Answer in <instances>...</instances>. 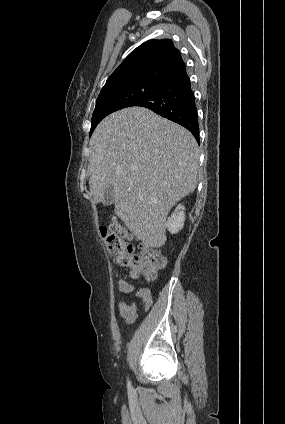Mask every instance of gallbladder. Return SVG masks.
<instances>
[{
    "label": "gallbladder",
    "instance_id": "gallbladder-1",
    "mask_svg": "<svg viewBox=\"0 0 285 424\" xmlns=\"http://www.w3.org/2000/svg\"><path fill=\"white\" fill-rule=\"evenodd\" d=\"M114 193H115V190L113 186L106 187L103 192L102 203L106 206L111 205L113 203Z\"/></svg>",
    "mask_w": 285,
    "mask_h": 424
}]
</instances>
